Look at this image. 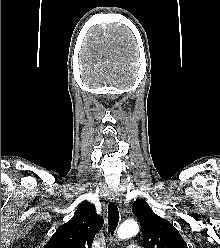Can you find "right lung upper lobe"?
I'll list each match as a JSON object with an SVG mask.
<instances>
[{
	"label": "right lung upper lobe",
	"instance_id": "1",
	"mask_svg": "<svg viewBox=\"0 0 220 248\" xmlns=\"http://www.w3.org/2000/svg\"><path fill=\"white\" fill-rule=\"evenodd\" d=\"M103 222V218L95 212V207L84 202L71 220L56 230L44 248H91Z\"/></svg>",
	"mask_w": 220,
	"mask_h": 248
}]
</instances>
